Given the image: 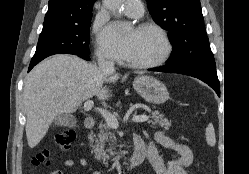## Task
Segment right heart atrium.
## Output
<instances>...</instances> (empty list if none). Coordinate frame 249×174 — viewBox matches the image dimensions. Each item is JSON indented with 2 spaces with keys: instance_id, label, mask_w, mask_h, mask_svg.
Masks as SVG:
<instances>
[{
  "instance_id": "1",
  "label": "right heart atrium",
  "mask_w": 249,
  "mask_h": 174,
  "mask_svg": "<svg viewBox=\"0 0 249 174\" xmlns=\"http://www.w3.org/2000/svg\"><path fill=\"white\" fill-rule=\"evenodd\" d=\"M103 29H104V23L101 20H97L94 24L95 33L99 34L103 31ZM96 54H97L99 61L101 62H110L112 60L108 51L101 45L97 46Z\"/></svg>"
}]
</instances>
